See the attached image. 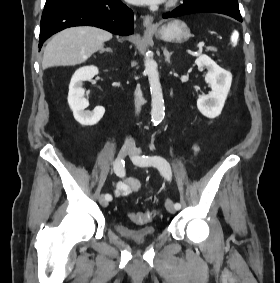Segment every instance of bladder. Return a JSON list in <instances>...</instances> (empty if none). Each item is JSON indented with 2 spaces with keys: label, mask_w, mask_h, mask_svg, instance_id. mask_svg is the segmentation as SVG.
<instances>
[{
  "label": "bladder",
  "mask_w": 280,
  "mask_h": 283,
  "mask_svg": "<svg viewBox=\"0 0 280 283\" xmlns=\"http://www.w3.org/2000/svg\"><path fill=\"white\" fill-rule=\"evenodd\" d=\"M114 230L118 235L135 242H143L152 239L156 235V228L153 225L130 228L121 222H117L114 225Z\"/></svg>",
  "instance_id": "obj_1"
}]
</instances>
